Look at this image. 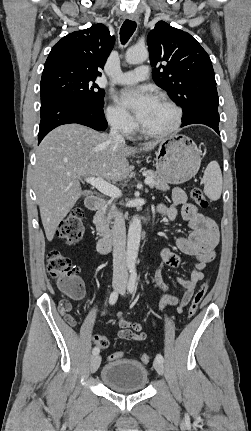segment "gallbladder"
I'll return each instance as SVG.
<instances>
[{
    "label": "gallbladder",
    "instance_id": "bac80fb5",
    "mask_svg": "<svg viewBox=\"0 0 251 431\" xmlns=\"http://www.w3.org/2000/svg\"><path fill=\"white\" fill-rule=\"evenodd\" d=\"M83 194H87V192H86V191H84V192H83Z\"/></svg>",
    "mask_w": 251,
    "mask_h": 431
}]
</instances>
